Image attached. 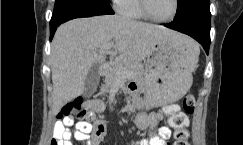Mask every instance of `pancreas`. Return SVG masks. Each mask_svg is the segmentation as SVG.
<instances>
[{"instance_id": "obj_1", "label": "pancreas", "mask_w": 243, "mask_h": 145, "mask_svg": "<svg viewBox=\"0 0 243 145\" xmlns=\"http://www.w3.org/2000/svg\"><path fill=\"white\" fill-rule=\"evenodd\" d=\"M143 74V66L138 62L123 59L111 63L105 73V85L102 87V92L105 93L117 86L124 75L127 78L141 79Z\"/></svg>"}]
</instances>
